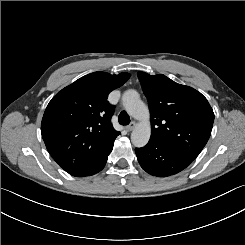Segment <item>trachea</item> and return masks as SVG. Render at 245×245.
I'll use <instances>...</instances> for the list:
<instances>
[{"instance_id":"3493384b","label":"trachea","mask_w":245,"mask_h":245,"mask_svg":"<svg viewBox=\"0 0 245 245\" xmlns=\"http://www.w3.org/2000/svg\"><path fill=\"white\" fill-rule=\"evenodd\" d=\"M118 120L121 125H128L130 123V117L125 111L119 114Z\"/></svg>"}]
</instances>
